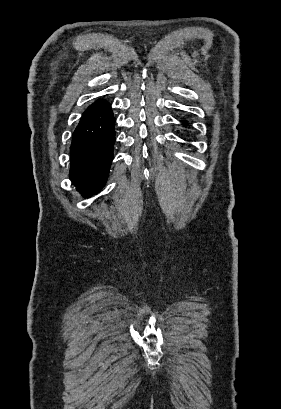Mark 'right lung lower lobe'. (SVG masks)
Returning a JSON list of instances; mask_svg holds the SVG:
<instances>
[{
    "instance_id": "right-lung-lower-lobe-1",
    "label": "right lung lower lobe",
    "mask_w": 281,
    "mask_h": 409,
    "mask_svg": "<svg viewBox=\"0 0 281 409\" xmlns=\"http://www.w3.org/2000/svg\"><path fill=\"white\" fill-rule=\"evenodd\" d=\"M115 119L108 101L96 100L83 113L71 143L72 179L85 197L104 186L113 159Z\"/></svg>"
}]
</instances>
